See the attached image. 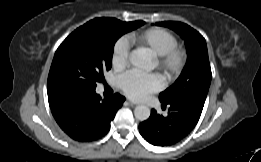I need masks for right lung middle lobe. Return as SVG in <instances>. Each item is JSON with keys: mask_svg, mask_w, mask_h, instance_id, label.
<instances>
[{"mask_svg": "<svg viewBox=\"0 0 261 162\" xmlns=\"http://www.w3.org/2000/svg\"><path fill=\"white\" fill-rule=\"evenodd\" d=\"M144 23L96 18L72 32L53 58L47 82L49 103L95 92L103 71L111 68L117 39Z\"/></svg>", "mask_w": 261, "mask_h": 162, "instance_id": "right-lung-middle-lobe-1", "label": "right lung middle lobe"}]
</instances>
